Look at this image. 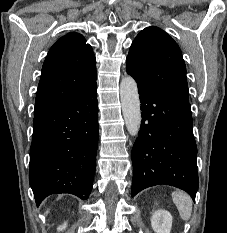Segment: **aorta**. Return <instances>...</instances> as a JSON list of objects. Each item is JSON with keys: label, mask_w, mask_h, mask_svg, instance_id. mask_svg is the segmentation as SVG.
<instances>
[{"label": "aorta", "mask_w": 227, "mask_h": 233, "mask_svg": "<svg viewBox=\"0 0 227 233\" xmlns=\"http://www.w3.org/2000/svg\"><path fill=\"white\" fill-rule=\"evenodd\" d=\"M122 113L127 130L131 136H137L141 125V110L136 81L126 76L120 83Z\"/></svg>", "instance_id": "762f6f07"}]
</instances>
